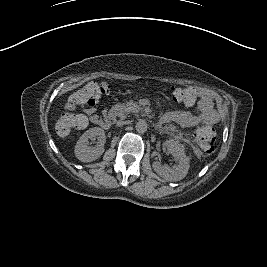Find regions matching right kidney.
Returning a JSON list of instances; mask_svg holds the SVG:
<instances>
[{
  "label": "right kidney",
  "mask_w": 267,
  "mask_h": 267,
  "mask_svg": "<svg viewBox=\"0 0 267 267\" xmlns=\"http://www.w3.org/2000/svg\"><path fill=\"white\" fill-rule=\"evenodd\" d=\"M96 146H88L89 140L95 141ZM106 142L105 132L99 127L90 128L77 141L74 149L75 156L82 162H91L99 158L104 152Z\"/></svg>",
  "instance_id": "ca27d5eb"
}]
</instances>
